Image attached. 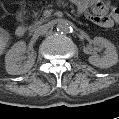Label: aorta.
Masks as SVG:
<instances>
[{
    "mask_svg": "<svg viewBox=\"0 0 119 119\" xmlns=\"http://www.w3.org/2000/svg\"><path fill=\"white\" fill-rule=\"evenodd\" d=\"M56 29L60 33H68L71 29V26L68 21L66 20H61L57 23Z\"/></svg>",
    "mask_w": 119,
    "mask_h": 119,
    "instance_id": "762f6f07",
    "label": "aorta"
}]
</instances>
